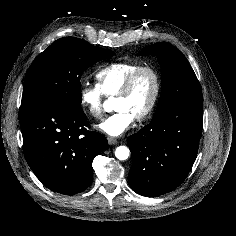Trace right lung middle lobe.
<instances>
[{
    "instance_id": "right-lung-middle-lobe-1",
    "label": "right lung middle lobe",
    "mask_w": 236,
    "mask_h": 236,
    "mask_svg": "<svg viewBox=\"0 0 236 236\" xmlns=\"http://www.w3.org/2000/svg\"><path fill=\"white\" fill-rule=\"evenodd\" d=\"M113 51L65 37L40 53L27 71L21 107L38 102L81 109V74L92 64L110 58Z\"/></svg>"
}]
</instances>
